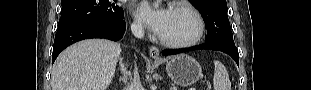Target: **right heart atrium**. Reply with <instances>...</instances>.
<instances>
[{"label": "right heart atrium", "instance_id": "obj_1", "mask_svg": "<svg viewBox=\"0 0 311 90\" xmlns=\"http://www.w3.org/2000/svg\"><path fill=\"white\" fill-rule=\"evenodd\" d=\"M131 27L135 32H141L143 30L142 22L138 18L133 20Z\"/></svg>", "mask_w": 311, "mask_h": 90}]
</instances>
